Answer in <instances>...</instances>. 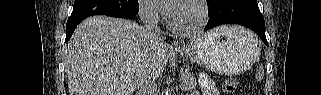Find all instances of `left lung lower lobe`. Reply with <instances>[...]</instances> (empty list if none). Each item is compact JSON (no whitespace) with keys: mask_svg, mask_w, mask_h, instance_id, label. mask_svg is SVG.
<instances>
[{"mask_svg":"<svg viewBox=\"0 0 321 95\" xmlns=\"http://www.w3.org/2000/svg\"><path fill=\"white\" fill-rule=\"evenodd\" d=\"M209 21L205 30L222 24H239L252 29L268 46L265 23L257 0H214L208 3Z\"/></svg>","mask_w":321,"mask_h":95,"instance_id":"left-lung-lower-lobe-1","label":"left lung lower lobe"}]
</instances>
